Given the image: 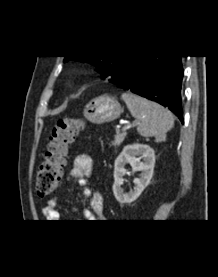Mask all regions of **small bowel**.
<instances>
[{"mask_svg": "<svg viewBox=\"0 0 218 277\" xmlns=\"http://www.w3.org/2000/svg\"><path fill=\"white\" fill-rule=\"evenodd\" d=\"M92 171L93 162L91 157L88 155H78L75 157L73 165L67 174V179L73 180L81 186L83 196L90 200V208L82 210L83 216L90 220H100L104 218L103 197L99 192L93 191L86 181V178L91 175ZM42 213L50 222H56L59 220L60 213L58 211V199H49L46 207L43 208Z\"/></svg>", "mask_w": 218, "mask_h": 277, "instance_id": "small-bowel-1", "label": "small bowel"}]
</instances>
